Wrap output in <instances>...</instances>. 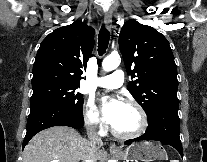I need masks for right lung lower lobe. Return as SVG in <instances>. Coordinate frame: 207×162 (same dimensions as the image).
I'll return each mask as SVG.
<instances>
[{
    "label": "right lung lower lobe",
    "instance_id": "obj_1",
    "mask_svg": "<svg viewBox=\"0 0 207 162\" xmlns=\"http://www.w3.org/2000/svg\"><path fill=\"white\" fill-rule=\"evenodd\" d=\"M83 124L82 113L50 102L34 104L28 117L23 147L35 134L44 129L60 125L79 129Z\"/></svg>",
    "mask_w": 207,
    "mask_h": 162
}]
</instances>
